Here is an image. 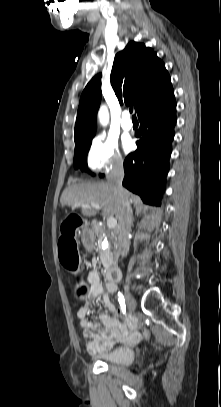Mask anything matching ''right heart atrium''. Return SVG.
Wrapping results in <instances>:
<instances>
[{
  "mask_svg": "<svg viewBox=\"0 0 221 407\" xmlns=\"http://www.w3.org/2000/svg\"><path fill=\"white\" fill-rule=\"evenodd\" d=\"M86 164L92 172H107L121 168L123 159L117 142L105 135L96 136L87 150Z\"/></svg>",
  "mask_w": 221,
  "mask_h": 407,
  "instance_id": "1",
  "label": "right heart atrium"
}]
</instances>
